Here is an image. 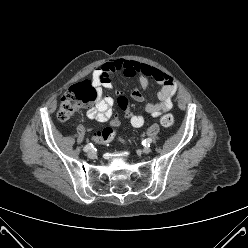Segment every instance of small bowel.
<instances>
[{
	"label": "small bowel",
	"mask_w": 248,
	"mask_h": 248,
	"mask_svg": "<svg viewBox=\"0 0 248 248\" xmlns=\"http://www.w3.org/2000/svg\"><path fill=\"white\" fill-rule=\"evenodd\" d=\"M118 74L126 77H136L139 86L145 91L149 89L151 81H155L160 85V90L157 94L159 102H147L145 105V112L150 117L158 118L172 109L173 97L177 92V83L170 74L147 64L116 59L102 64L93 72V84L98 89V96L94 106L87 110L88 118L98 122H106L111 117L113 99L109 96H103L101 87L113 88L112 78ZM132 98L139 102L145 100L143 93L139 89H135L132 92ZM130 123L132 126L139 128L144 125L145 116L143 114H134L130 119Z\"/></svg>",
	"instance_id": "c3829d8e"
}]
</instances>
